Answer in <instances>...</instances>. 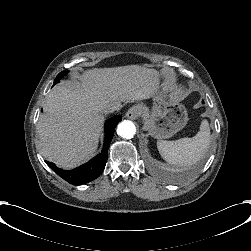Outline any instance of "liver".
Here are the masks:
<instances>
[{
	"instance_id": "obj_1",
	"label": "liver",
	"mask_w": 251,
	"mask_h": 251,
	"mask_svg": "<svg viewBox=\"0 0 251 251\" xmlns=\"http://www.w3.org/2000/svg\"><path fill=\"white\" fill-rule=\"evenodd\" d=\"M158 71L148 64L92 67L77 80H61L46 97L36 130L40 152L57 168L71 170L98 149L108 107L152 98Z\"/></svg>"
}]
</instances>
